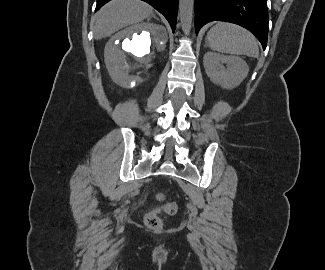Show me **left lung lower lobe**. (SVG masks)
Wrapping results in <instances>:
<instances>
[{"instance_id": "left-lung-lower-lobe-1", "label": "left lung lower lobe", "mask_w": 325, "mask_h": 270, "mask_svg": "<svg viewBox=\"0 0 325 270\" xmlns=\"http://www.w3.org/2000/svg\"><path fill=\"white\" fill-rule=\"evenodd\" d=\"M238 24L251 31L267 46L268 10L267 0H195V31L211 21Z\"/></svg>"}]
</instances>
